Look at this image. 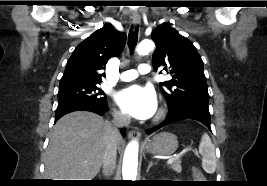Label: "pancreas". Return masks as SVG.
<instances>
[{
  "label": "pancreas",
  "instance_id": "1",
  "mask_svg": "<svg viewBox=\"0 0 267 186\" xmlns=\"http://www.w3.org/2000/svg\"><path fill=\"white\" fill-rule=\"evenodd\" d=\"M170 168L175 172L180 173L182 171L180 159H175L174 162L170 165Z\"/></svg>",
  "mask_w": 267,
  "mask_h": 186
}]
</instances>
